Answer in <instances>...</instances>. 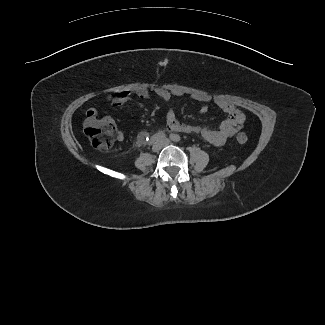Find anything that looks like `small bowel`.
Returning a JSON list of instances; mask_svg holds the SVG:
<instances>
[{
	"label": "small bowel",
	"instance_id": "obj_1",
	"mask_svg": "<svg viewBox=\"0 0 325 325\" xmlns=\"http://www.w3.org/2000/svg\"><path fill=\"white\" fill-rule=\"evenodd\" d=\"M131 93L126 91L114 92L108 94L106 99L113 102L116 105L124 104ZM132 94L137 96L140 99H149L152 94H155L159 98L167 101L172 97H183L189 96L191 99L203 103L200 108L201 113H206L209 110V107L206 105L210 101V97L205 94L200 93H191L187 94L180 90H168L162 87H155L150 90L147 89H138L135 90ZM215 104L223 112L227 114V118L221 122L217 129H211L204 126L192 125L180 122L175 115V112L172 108L168 109L165 115L166 128L169 132H182V133H195L199 134L204 140L210 144L221 147L237 132L239 131L245 121L244 114L232 103L228 102L223 98H216ZM141 108V106H139ZM94 111L99 113L97 108H91L88 112ZM123 133H118V139H123Z\"/></svg>",
	"mask_w": 325,
	"mask_h": 325
}]
</instances>
